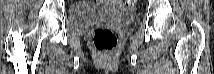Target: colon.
I'll use <instances>...</instances> for the list:
<instances>
[{
    "label": "colon",
    "mask_w": 214,
    "mask_h": 74,
    "mask_svg": "<svg viewBox=\"0 0 214 74\" xmlns=\"http://www.w3.org/2000/svg\"><path fill=\"white\" fill-rule=\"evenodd\" d=\"M136 0H125L127 8H133ZM93 42L97 50L101 52L111 51L117 44L116 33L109 28H97L94 32Z\"/></svg>",
    "instance_id": "obj_1"
}]
</instances>
